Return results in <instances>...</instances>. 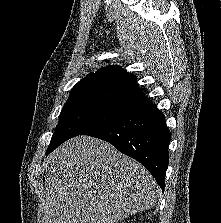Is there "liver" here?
Segmentation results:
<instances>
[{
    "mask_svg": "<svg viewBox=\"0 0 221 223\" xmlns=\"http://www.w3.org/2000/svg\"><path fill=\"white\" fill-rule=\"evenodd\" d=\"M43 166L42 223H119L153 208L161 195L139 162L85 135L66 141Z\"/></svg>",
    "mask_w": 221,
    "mask_h": 223,
    "instance_id": "liver-1",
    "label": "liver"
}]
</instances>
